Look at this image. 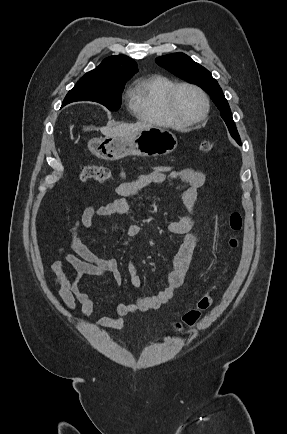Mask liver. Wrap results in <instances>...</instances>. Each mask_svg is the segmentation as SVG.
<instances>
[{
    "label": "liver",
    "instance_id": "6515ba94",
    "mask_svg": "<svg viewBox=\"0 0 287 434\" xmlns=\"http://www.w3.org/2000/svg\"><path fill=\"white\" fill-rule=\"evenodd\" d=\"M151 127L150 125L146 123H135V124H120L116 127L106 126L102 127L101 133L105 135L106 137H127L132 136L139 131ZM97 130V128L94 127H86L84 128L85 131L88 130Z\"/></svg>",
    "mask_w": 287,
    "mask_h": 434
}]
</instances>
